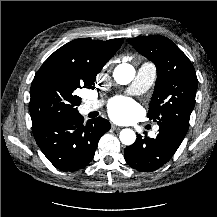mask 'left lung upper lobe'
I'll list each match as a JSON object with an SVG mask.
<instances>
[{
  "label": "left lung upper lobe",
  "mask_w": 217,
  "mask_h": 217,
  "mask_svg": "<svg viewBox=\"0 0 217 217\" xmlns=\"http://www.w3.org/2000/svg\"><path fill=\"white\" fill-rule=\"evenodd\" d=\"M128 42L157 67L148 117L158 125L170 123L188 131L198 85L191 61L171 40L160 35L129 38Z\"/></svg>",
  "instance_id": "left-lung-upper-lobe-1"
}]
</instances>
